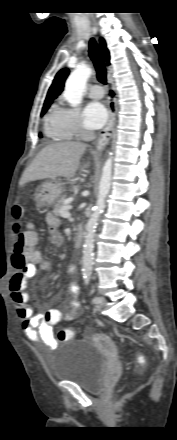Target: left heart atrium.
Wrapping results in <instances>:
<instances>
[{"instance_id": "left-heart-atrium-1", "label": "left heart atrium", "mask_w": 177, "mask_h": 440, "mask_svg": "<svg viewBox=\"0 0 177 440\" xmlns=\"http://www.w3.org/2000/svg\"><path fill=\"white\" fill-rule=\"evenodd\" d=\"M83 117L88 128L99 129L106 123L108 114L103 104L91 102L85 107Z\"/></svg>"}]
</instances>
